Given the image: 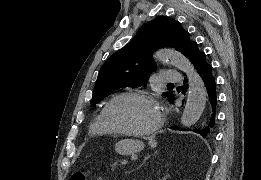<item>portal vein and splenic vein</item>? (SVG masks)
<instances>
[{"mask_svg":"<svg viewBox=\"0 0 261 180\" xmlns=\"http://www.w3.org/2000/svg\"><path fill=\"white\" fill-rule=\"evenodd\" d=\"M120 165L121 167H126V165H129V160H127L126 158H121Z\"/></svg>","mask_w":261,"mask_h":180,"instance_id":"portal-vein-and-splenic-vein-1","label":"portal vein and splenic vein"}]
</instances>
